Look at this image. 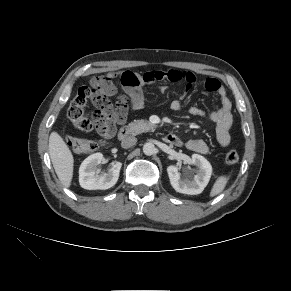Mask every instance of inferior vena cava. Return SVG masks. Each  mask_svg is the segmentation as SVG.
<instances>
[{"label": "inferior vena cava", "instance_id": "1", "mask_svg": "<svg viewBox=\"0 0 291 291\" xmlns=\"http://www.w3.org/2000/svg\"><path fill=\"white\" fill-rule=\"evenodd\" d=\"M136 142H137V138H135L134 136H128L122 140L121 146L122 148H130L134 146Z\"/></svg>", "mask_w": 291, "mask_h": 291}]
</instances>
